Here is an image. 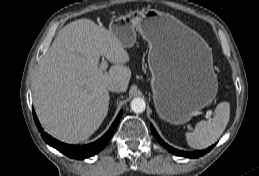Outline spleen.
<instances>
[{
    "instance_id": "spleen-1",
    "label": "spleen",
    "mask_w": 259,
    "mask_h": 176,
    "mask_svg": "<svg viewBox=\"0 0 259 176\" xmlns=\"http://www.w3.org/2000/svg\"><path fill=\"white\" fill-rule=\"evenodd\" d=\"M229 118L230 104L228 102L219 103L212 119L198 122L193 132L186 133L188 145L195 149H205L211 146L226 129Z\"/></svg>"
}]
</instances>
